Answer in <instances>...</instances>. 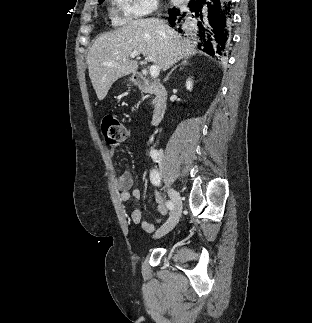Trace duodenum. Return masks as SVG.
I'll return each mask as SVG.
<instances>
[{
	"mask_svg": "<svg viewBox=\"0 0 312 323\" xmlns=\"http://www.w3.org/2000/svg\"><path fill=\"white\" fill-rule=\"evenodd\" d=\"M134 85L153 96L152 124L159 123L165 116L168 109V91L157 78H148L137 72L133 75Z\"/></svg>",
	"mask_w": 312,
	"mask_h": 323,
	"instance_id": "duodenum-1",
	"label": "duodenum"
}]
</instances>
